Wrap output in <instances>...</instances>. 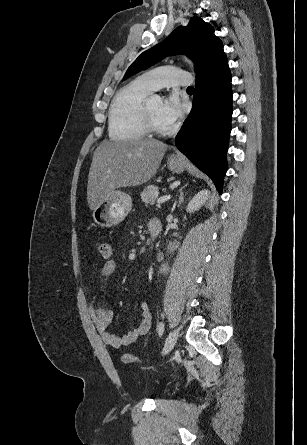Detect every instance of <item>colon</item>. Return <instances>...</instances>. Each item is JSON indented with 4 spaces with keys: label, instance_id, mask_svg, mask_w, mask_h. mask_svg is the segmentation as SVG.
<instances>
[{
    "label": "colon",
    "instance_id": "5ec220e1",
    "mask_svg": "<svg viewBox=\"0 0 307 445\" xmlns=\"http://www.w3.org/2000/svg\"><path fill=\"white\" fill-rule=\"evenodd\" d=\"M96 246H97V250H98L99 254L101 255V257H103L104 259H108L111 257L112 245L110 242L104 241V240H99L96 242ZM121 360L124 363H142L143 362L142 359H140L139 357H137L131 353H128V352L122 354Z\"/></svg>",
    "mask_w": 307,
    "mask_h": 445
}]
</instances>
